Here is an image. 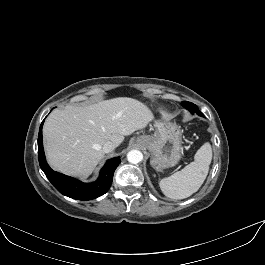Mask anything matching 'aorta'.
<instances>
[{
    "label": "aorta",
    "mask_w": 265,
    "mask_h": 265,
    "mask_svg": "<svg viewBox=\"0 0 265 265\" xmlns=\"http://www.w3.org/2000/svg\"><path fill=\"white\" fill-rule=\"evenodd\" d=\"M127 159L132 164H137L143 160V154L138 150L128 152Z\"/></svg>",
    "instance_id": "1"
}]
</instances>
